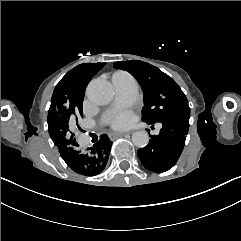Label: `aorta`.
<instances>
[{
  "instance_id": "obj_1",
  "label": "aorta",
  "mask_w": 241,
  "mask_h": 241,
  "mask_svg": "<svg viewBox=\"0 0 241 241\" xmlns=\"http://www.w3.org/2000/svg\"><path fill=\"white\" fill-rule=\"evenodd\" d=\"M87 97L97 105H106L113 99V88L104 79L92 80L86 90ZM132 142L139 148L145 147L149 143V135L146 131H137L132 135Z\"/></svg>"
}]
</instances>
